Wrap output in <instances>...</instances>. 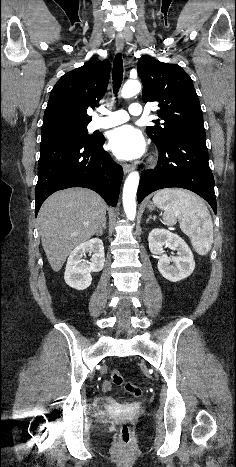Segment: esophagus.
Masks as SVG:
<instances>
[{
	"label": "esophagus",
	"instance_id": "obj_1",
	"mask_svg": "<svg viewBox=\"0 0 236 467\" xmlns=\"http://www.w3.org/2000/svg\"><path fill=\"white\" fill-rule=\"evenodd\" d=\"M123 48H124V41H123V39L120 38V37H117V38H116V50H117L118 52H121V51L123 50ZM123 170H124V172L127 174V173H129V172L132 170V166L129 165V164H124V165H123Z\"/></svg>",
	"mask_w": 236,
	"mask_h": 467
}]
</instances>
